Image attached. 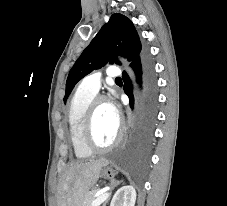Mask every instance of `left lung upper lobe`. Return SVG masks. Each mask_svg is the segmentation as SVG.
<instances>
[{
    "label": "left lung upper lobe",
    "mask_w": 227,
    "mask_h": 206,
    "mask_svg": "<svg viewBox=\"0 0 227 206\" xmlns=\"http://www.w3.org/2000/svg\"><path fill=\"white\" fill-rule=\"evenodd\" d=\"M143 52L133 23L124 15L113 14L70 70L64 103L76 83L94 69L104 66L108 61L119 64L115 58L117 55L126 57L132 65Z\"/></svg>",
    "instance_id": "5c2ea615"
}]
</instances>
